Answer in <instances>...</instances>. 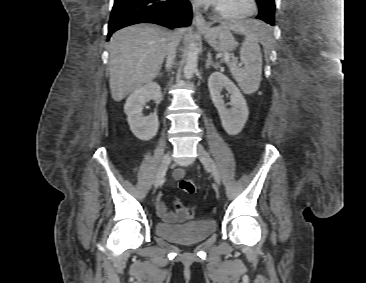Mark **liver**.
<instances>
[{
    "label": "liver",
    "instance_id": "liver-1",
    "mask_svg": "<svg viewBox=\"0 0 366 283\" xmlns=\"http://www.w3.org/2000/svg\"><path fill=\"white\" fill-rule=\"evenodd\" d=\"M221 26L245 35L252 31H268L254 28L247 22L222 23ZM177 31L180 36L185 33V29ZM172 35L168 29L151 23L129 26L112 35L109 43V85L115 101H121L158 75Z\"/></svg>",
    "mask_w": 366,
    "mask_h": 283
}]
</instances>
